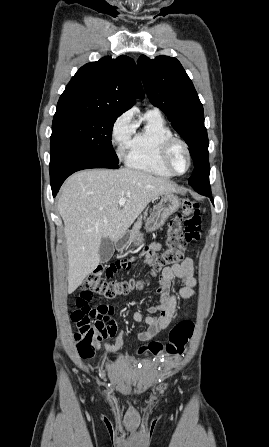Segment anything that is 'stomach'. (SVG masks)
<instances>
[{
	"label": "stomach",
	"mask_w": 269,
	"mask_h": 447,
	"mask_svg": "<svg viewBox=\"0 0 269 447\" xmlns=\"http://www.w3.org/2000/svg\"><path fill=\"white\" fill-rule=\"evenodd\" d=\"M157 198L159 202L151 216L146 220L145 229H147V231L158 229V227L163 225L165 220H167L171 214L177 212L181 206V200H179L178 196H174V194H161V196H157ZM141 241H143V233H136L135 237H131L130 233L128 237H125L122 243L117 245V249L122 251V249H127L131 243H133V245H139Z\"/></svg>",
	"instance_id": "0dacf381"
}]
</instances>
